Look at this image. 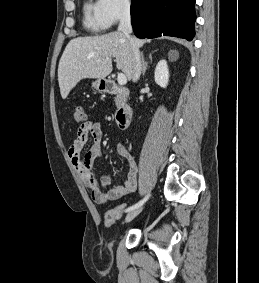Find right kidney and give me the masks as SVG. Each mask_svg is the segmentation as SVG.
Here are the masks:
<instances>
[{
    "mask_svg": "<svg viewBox=\"0 0 259 283\" xmlns=\"http://www.w3.org/2000/svg\"><path fill=\"white\" fill-rule=\"evenodd\" d=\"M155 82L162 88H166L169 81V70L166 60H160L155 68Z\"/></svg>",
    "mask_w": 259,
    "mask_h": 283,
    "instance_id": "ca27d5eb",
    "label": "right kidney"
}]
</instances>
